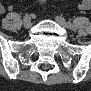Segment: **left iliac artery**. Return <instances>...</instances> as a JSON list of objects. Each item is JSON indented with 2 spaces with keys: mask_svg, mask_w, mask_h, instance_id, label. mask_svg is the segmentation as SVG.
Segmentation results:
<instances>
[{
  "mask_svg": "<svg viewBox=\"0 0 91 91\" xmlns=\"http://www.w3.org/2000/svg\"><path fill=\"white\" fill-rule=\"evenodd\" d=\"M67 26H68V27H72V26H74V25H73L71 22H68V23H67Z\"/></svg>",
  "mask_w": 91,
  "mask_h": 91,
  "instance_id": "1",
  "label": "left iliac artery"
}]
</instances>
